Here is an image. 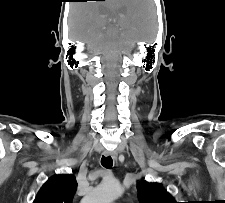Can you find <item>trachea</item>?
<instances>
[{
    "label": "trachea",
    "mask_w": 225,
    "mask_h": 203,
    "mask_svg": "<svg viewBox=\"0 0 225 203\" xmlns=\"http://www.w3.org/2000/svg\"><path fill=\"white\" fill-rule=\"evenodd\" d=\"M101 164L107 169L112 168L113 160H112L111 156H102Z\"/></svg>",
    "instance_id": "3493384b"
}]
</instances>
